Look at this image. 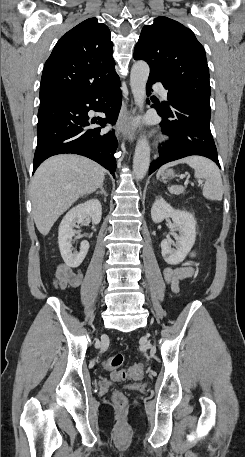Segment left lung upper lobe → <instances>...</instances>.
Wrapping results in <instances>:
<instances>
[{"label": "left lung upper lobe", "mask_w": 245, "mask_h": 457, "mask_svg": "<svg viewBox=\"0 0 245 457\" xmlns=\"http://www.w3.org/2000/svg\"><path fill=\"white\" fill-rule=\"evenodd\" d=\"M134 59L145 60L150 75L168 89V102L210 110L209 69L205 50L193 32L168 17H157L143 27L134 50Z\"/></svg>", "instance_id": "1"}]
</instances>
